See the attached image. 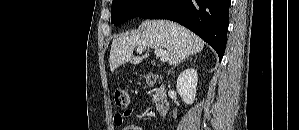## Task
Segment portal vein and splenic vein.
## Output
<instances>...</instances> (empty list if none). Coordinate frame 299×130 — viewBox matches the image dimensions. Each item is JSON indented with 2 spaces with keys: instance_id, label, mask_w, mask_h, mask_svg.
I'll list each match as a JSON object with an SVG mask.
<instances>
[{
  "instance_id": "obj_1",
  "label": "portal vein and splenic vein",
  "mask_w": 299,
  "mask_h": 130,
  "mask_svg": "<svg viewBox=\"0 0 299 130\" xmlns=\"http://www.w3.org/2000/svg\"><path fill=\"white\" fill-rule=\"evenodd\" d=\"M144 49H146V48L145 47H138L137 52H142ZM155 54H156V56H158L160 58L161 62H167L169 60V54L166 50H163L161 48H156L155 49Z\"/></svg>"
}]
</instances>
